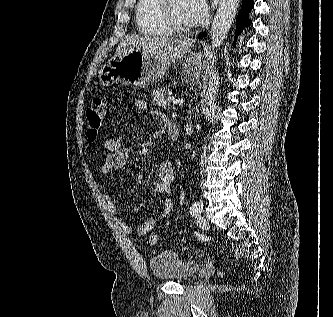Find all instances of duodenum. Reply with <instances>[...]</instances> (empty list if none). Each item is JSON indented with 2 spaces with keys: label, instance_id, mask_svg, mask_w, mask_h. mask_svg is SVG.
<instances>
[{
  "label": "duodenum",
  "instance_id": "duodenum-1",
  "mask_svg": "<svg viewBox=\"0 0 333 317\" xmlns=\"http://www.w3.org/2000/svg\"><path fill=\"white\" fill-rule=\"evenodd\" d=\"M166 126L171 139L176 141L180 133L179 125L175 121L168 120Z\"/></svg>",
  "mask_w": 333,
  "mask_h": 317
}]
</instances>
